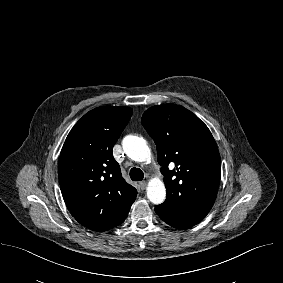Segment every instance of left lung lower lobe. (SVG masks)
<instances>
[{"label":"left lung lower lobe","instance_id":"0a47b994","mask_svg":"<svg viewBox=\"0 0 283 283\" xmlns=\"http://www.w3.org/2000/svg\"><path fill=\"white\" fill-rule=\"evenodd\" d=\"M156 211V210H155ZM156 213L159 215V217L166 222L167 224H169L170 226L177 228V229H188L192 226H194L195 224H188V223H183V222H179V221H173L171 219H167L164 218L162 215H160L157 211Z\"/></svg>","mask_w":283,"mask_h":283}]
</instances>
